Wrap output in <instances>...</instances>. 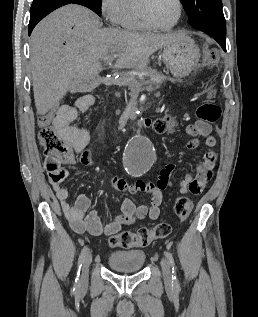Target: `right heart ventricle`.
<instances>
[{
  "label": "right heart ventricle",
  "mask_w": 258,
  "mask_h": 317,
  "mask_svg": "<svg viewBox=\"0 0 258 317\" xmlns=\"http://www.w3.org/2000/svg\"><path fill=\"white\" fill-rule=\"evenodd\" d=\"M143 0H122V26L128 30H144L138 19L139 7Z\"/></svg>",
  "instance_id": "obj_1"
}]
</instances>
